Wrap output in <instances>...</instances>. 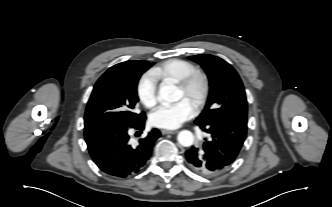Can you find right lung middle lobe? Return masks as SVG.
I'll return each instance as SVG.
<instances>
[{
  "mask_svg": "<svg viewBox=\"0 0 332 207\" xmlns=\"http://www.w3.org/2000/svg\"><path fill=\"white\" fill-rule=\"evenodd\" d=\"M152 66L147 61H127L109 68L97 81L85 112V130L102 126H129L145 114L134 111L140 76Z\"/></svg>",
  "mask_w": 332,
  "mask_h": 207,
  "instance_id": "1",
  "label": "right lung middle lobe"
}]
</instances>
